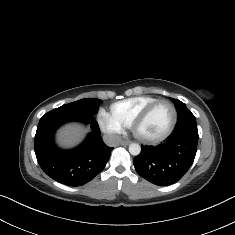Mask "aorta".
Returning a JSON list of instances; mask_svg holds the SVG:
<instances>
[{
    "instance_id": "762f6f07",
    "label": "aorta",
    "mask_w": 235,
    "mask_h": 235,
    "mask_svg": "<svg viewBox=\"0 0 235 235\" xmlns=\"http://www.w3.org/2000/svg\"><path fill=\"white\" fill-rule=\"evenodd\" d=\"M129 152L133 156H138L141 153V146L139 144H130Z\"/></svg>"
}]
</instances>
